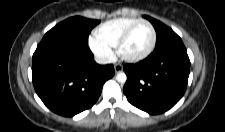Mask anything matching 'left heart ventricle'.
Wrapping results in <instances>:
<instances>
[{"mask_svg":"<svg viewBox=\"0 0 225 132\" xmlns=\"http://www.w3.org/2000/svg\"><path fill=\"white\" fill-rule=\"evenodd\" d=\"M151 37L152 32L147 24L137 25L124 45V53L130 56L142 53L149 46Z\"/></svg>","mask_w":225,"mask_h":132,"instance_id":"left-heart-ventricle-1","label":"left heart ventricle"}]
</instances>
